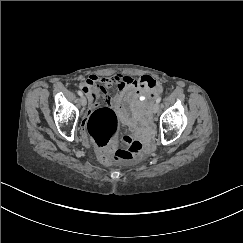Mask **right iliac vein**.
Instances as JSON below:
<instances>
[{"label": "right iliac vein", "instance_id": "obj_1", "mask_svg": "<svg viewBox=\"0 0 243 243\" xmlns=\"http://www.w3.org/2000/svg\"><path fill=\"white\" fill-rule=\"evenodd\" d=\"M80 102H81L82 106H85L87 104V100H86V98L84 96L81 97Z\"/></svg>", "mask_w": 243, "mask_h": 243}]
</instances>
